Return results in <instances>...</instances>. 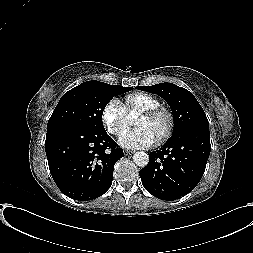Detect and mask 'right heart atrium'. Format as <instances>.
Listing matches in <instances>:
<instances>
[{
	"instance_id": "d8ad5b80",
	"label": "right heart atrium",
	"mask_w": 253,
	"mask_h": 253,
	"mask_svg": "<svg viewBox=\"0 0 253 253\" xmlns=\"http://www.w3.org/2000/svg\"><path fill=\"white\" fill-rule=\"evenodd\" d=\"M101 119L106 130L115 136L123 135L130 126L126 109L118 99H111L104 106Z\"/></svg>"
}]
</instances>
